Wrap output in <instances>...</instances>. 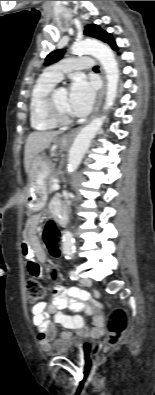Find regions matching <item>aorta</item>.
<instances>
[{
  "label": "aorta",
  "mask_w": 155,
  "mask_h": 395,
  "mask_svg": "<svg viewBox=\"0 0 155 395\" xmlns=\"http://www.w3.org/2000/svg\"><path fill=\"white\" fill-rule=\"evenodd\" d=\"M72 50L79 54H90L101 63L107 78V91L103 111L107 112L113 105L117 95L119 82V69L113 51L105 44L85 39L76 42ZM106 115L94 118L87 126L81 129L76 136L68 156V171L73 173L79 167L92 139L102 127ZM62 250L67 258L73 256L75 251L74 238L70 231H64L62 237Z\"/></svg>",
  "instance_id": "obj_1"
}]
</instances>
